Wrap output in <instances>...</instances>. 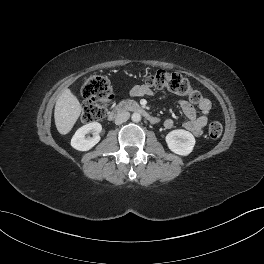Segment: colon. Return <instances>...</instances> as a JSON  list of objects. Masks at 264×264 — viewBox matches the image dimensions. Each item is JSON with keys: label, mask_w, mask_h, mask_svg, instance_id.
I'll list each match as a JSON object with an SVG mask.
<instances>
[{"label": "colon", "mask_w": 264, "mask_h": 264, "mask_svg": "<svg viewBox=\"0 0 264 264\" xmlns=\"http://www.w3.org/2000/svg\"><path fill=\"white\" fill-rule=\"evenodd\" d=\"M144 85L149 88L166 89L172 93L187 97L192 103H199L202 99L198 90L194 89L187 79L178 73L157 70L144 79ZM84 98L82 120L91 123L102 120L108 110L114 94L109 80L100 75L89 77L82 87ZM223 131L222 124L212 121L208 127V135L217 139Z\"/></svg>", "instance_id": "1"}]
</instances>
